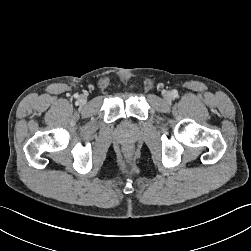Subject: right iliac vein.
Wrapping results in <instances>:
<instances>
[{
    "label": "right iliac vein",
    "instance_id": "right-iliac-vein-1",
    "mask_svg": "<svg viewBox=\"0 0 251 251\" xmlns=\"http://www.w3.org/2000/svg\"><path fill=\"white\" fill-rule=\"evenodd\" d=\"M78 101L80 104L84 105L86 104L87 102V97L85 95H81L79 98H78Z\"/></svg>",
    "mask_w": 251,
    "mask_h": 251
}]
</instances>
